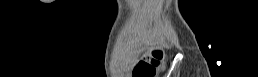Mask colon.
<instances>
[{"mask_svg":"<svg viewBox=\"0 0 258 77\" xmlns=\"http://www.w3.org/2000/svg\"><path fill=\"white\" fill-rule=\"evenodd\" d=\"M165 54L163 51L154 49L134 68V77H155L163 67Z\"/></svg>","mask_w":258,"mask_h":77,"instance_id":"colon-1","label":"colon"}]
</instances>
